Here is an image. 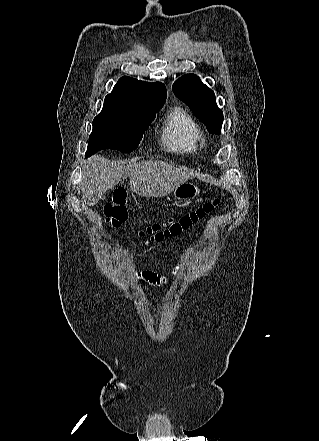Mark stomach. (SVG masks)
I'll return each instance as SVG.
<instances>
[{
	"label": "stomach",
	"mask_w": 319,
	"mask_h": 441,
	"mask_svg": "<svg viewBox=\"0 0 319 441\" xmlns=\"http://www.w3.org/2000/svg\"><path fill=\"white\" fill-rule=\"evenodd\" d=\"M174 199L179 202H187L200 195V189L191 182H184L173 191Z\"/></svg>",
	"instance_id": "obj_1"
}]
</instances>
